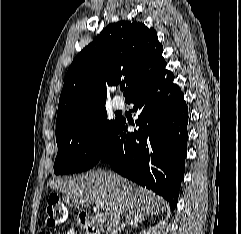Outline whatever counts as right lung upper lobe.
<instances>
[{"label":"right lung upper lobe","instance_id":"right-lung-upper-lobe-1","mask_svg":"<svg viewBox=\"0 0 241 234\" xmlns=\"http://www.w3.org/2000/svg\"><path fill=\"white\" fill-rule=\"evenodd\" d=\"M153 28L135 21L109 24L70 65L60 95L56 131L104 107L107 86L126 83L127 100L166 64ZM92 103L94 105L92 106Z\"/></svg>","mask_w":241,"mask_h":234}]
</instances>
